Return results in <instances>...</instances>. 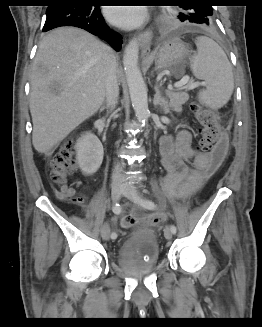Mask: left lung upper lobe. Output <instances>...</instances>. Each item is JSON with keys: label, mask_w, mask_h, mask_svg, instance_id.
I'll use <instances>...</instances> for the list:
<instances>
[{"label": "left lung upper lobe", "mask_w": 262, "mask_h": 327, "mask_svg": "<svg viewBox=\"0 0 262 327\" xmlns=\"http://www.w3.org/2000/svg\"><path fill=\"white\" fill-rule=\"evenodd\" d=\"M178 13L163 12L164 22L173 27L195 26L212 28L215 24L212 6L200 4V1L182 0Z\"/></svg>", "instance_id": "5c2ea615"}]
</instances>
